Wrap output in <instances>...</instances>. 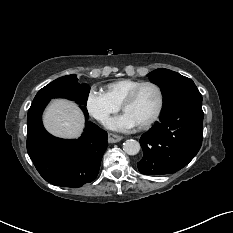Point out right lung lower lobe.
I'll return each mask as SVG.
<instances>
[{"mask_svg":"<svg viewBox=\"0 0 233 233\" xmlns=\"http://www.w3.org/2000/svg\"><path fill=\"white\" fill-rule=\"evenodd\" d=\"M50 99L32 103L27 115V151L40 175L62 187H80L98 175L102 156L108 146L107 133L87 121L77 140H64L49 134L42 124V112Z\"/></svg>","mask_w":233,"mask_h":233,"instance_id":"right-lung-lower-lobe-1","label":"right lung lower lobe"}]
</instances>
